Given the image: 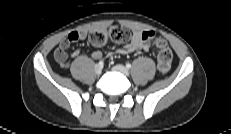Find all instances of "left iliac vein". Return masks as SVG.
Wrapping results in <instances>:
<instances>
[{
    "mask_svg": "<svg viewBox=\"0 0 231 134\" xmlns=\"http://www.w3.org/2000/svg\"><path fill=\"white\" fill-rule=\"evenodd\" d=\"M113 70L116 71V72H119V73H121V74H123L125 76H129L128 69L126 67H124L123 65H120V64L115 65L113 67Z\"/></svg>",
    "mask_w": 231,
    "mask_h": 134,
    "instance_id": "left-iliac-vein-1",
    "label": "left iliac vein"
}]
</instances>
